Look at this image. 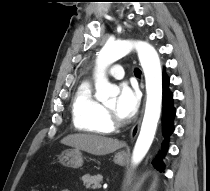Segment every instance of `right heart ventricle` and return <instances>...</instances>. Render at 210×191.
<instances>
[{
  "label": "right heart ventricle",
  "instance_id": "right-heart-ventricle-1",
  "mask_svg": "<svg viewBox=\"0 0 210 191\" xmlns=\"http://www.w3.org/2000/svg\"><path fill=\"white\" fill-rule=\"evenodd\" d=\"M72 117L78 131L89 134H108L112 131L105 107L94 97L92 86L83 82L72 102Z\"/></svg>",
  "mask_w": 210,
  "mask_h": 191
}]
</instances>
